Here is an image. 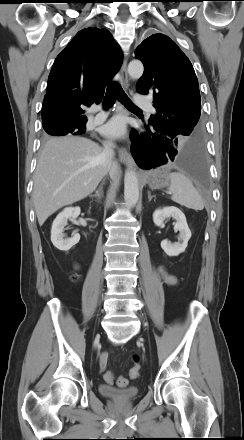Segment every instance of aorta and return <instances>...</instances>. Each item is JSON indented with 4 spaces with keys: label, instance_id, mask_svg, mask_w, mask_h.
Segmentation results:
<instances>
[{
    "label": "aorta",
    "instance_id": "762f6f07",
    "mask_svg": "<svg viewBox=\"0 0 244 440\" xmlns=\"http://www.w3.org/2000/svg\"><path fill=\"white\" fill-rule=\"evenodd\" d=\"M144 72V66L139 60H133L128 65V73L133 79H139ZM124 198L128 205L134 206L139 199V184L135 170L132 166L125 172Z\"/></svg>",
    "mask_w": 244,
    "mask_h": 440
}]
</instances>
